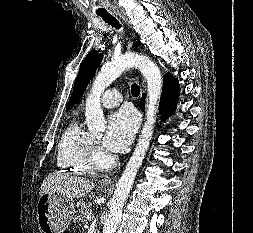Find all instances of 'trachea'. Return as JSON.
I'll list each match as a JSON object with an SVG mask.
<instances>
[{
  "label": "trachea",
  "mask_w": 253,
  "mask_h": 233,
  "mask_svg": "<svg viewBox=\"0 0 253 233\" xmlns=\"http://www.w3.org/2000/svg\"><path fill=\"white\" fill-rule=\"evenodd\" d=\"M98 15L100 17H102V19L108 23L109 25H111L112 27H115L117 29H119L121 27L119 21H117V19L115 17H113L111 14L107 13V12H100L98 13ZM131 93L133 96H138L140 94V88L137 84H132L131 86Z\"/></svg>",
  "instance_id": "obj_1"
}]
</instances>
